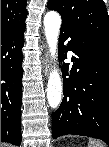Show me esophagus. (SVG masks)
I'll return each instance as SVG.
<instances>
[{
	"instance_id": "esophagus-1",
	"label": "esophagus",
	"mask_w": 109,
	"mask_h": 147,
	"mask_svg": "<svg viewBox=\"0 0 109 147\" xmlns=\"http://www.w3.org/2000/svg\"><path fill=\"white\" fill-rule=\"evenodd\" d=\"M43 68H44V75L48 76L51 70V63H50V57H49L48 50L46 51L44 59H43Z\"/></svg>"
}]
</instances>
